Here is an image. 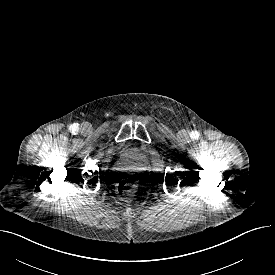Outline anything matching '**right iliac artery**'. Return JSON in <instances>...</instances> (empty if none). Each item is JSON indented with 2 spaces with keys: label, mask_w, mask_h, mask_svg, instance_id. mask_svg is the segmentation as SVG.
Wrapping results in <instances>:
<instances>
[{
  "label": "right iliac artery",
  "mask_w": 275,
  "mask_h": 275,
  "mask_svg": "<svg viewBox=\"0 0 275 275\" xmlns=\"http://www.w3.org/2000/svg\"><path fill=\"white\" fill-rule=\"evenodd\" d=\"M77 130H78V125H77V124H73V125H71V127H70V131H71L72 133H76V132H77Z\"/></svg>",
  "instance_id": "right-iliac-artery-1"
}]
</instances>
